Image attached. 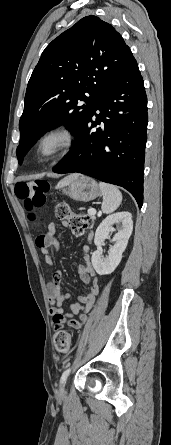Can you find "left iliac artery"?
I'll return each instance as SVG.
<instances>
[{"label": "left iliac artery", "mask_w": 171, "mask_h": 445, "mask_svg": "<svg viewBox=\"0 0 171 445\" xmlns=\"http://www.w3.org/2000/svg\"><path fill=\"white\" fill-rule=\"evenodd\" d=\"M70 371H71V368H68V369H66V370L63 372V374H62V376H61L60 384H62V383L66 380V378L68 377Z\"/></svg>", "instance_id": "44dca946"}]
</instances>
